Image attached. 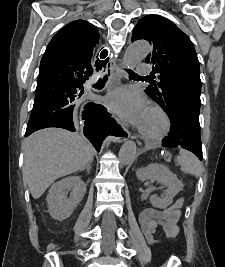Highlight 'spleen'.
I'll return each instance as SVG.
<instances>
[{
  "label": "spleen",
  "instance_id": "spleen-1",
  "mask_svg": "<svg viewBox=\"0 0 225 267\" xmlns=\"http://www.w3.org/2000/svg\"><path fill=\"white\" fill-rule=\"evenodd\" d=\"M177 165H180L182 172L198 176L201 172L200 161L189 151L181 149L177 157Z\"/></svg>",
  "mask_w": 225,
  "mask_h": 267
}]
</instances>
